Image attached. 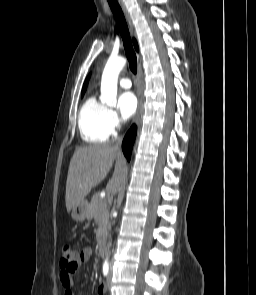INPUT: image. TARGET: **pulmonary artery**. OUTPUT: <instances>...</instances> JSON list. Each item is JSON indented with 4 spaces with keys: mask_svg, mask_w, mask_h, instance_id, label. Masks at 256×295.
Here are the masks:
<instances>
[{
    "mask_svg": "<svg viewBox=\"0 0 256 295\" xmlns=\"http://www.w3.org/2000/svg\"><path fill=\"white\" fill-rule=\"evenodd\" d=\"M119 84L123 89H130L132 86L131 80L127 77L121 78Z\"/></svg>",
    "mask_w": 256,
    "mask_h": 295,
    "instance_id": "e3ab8cb5",
    "label": "pulmonary artery"
}]
</instances>
